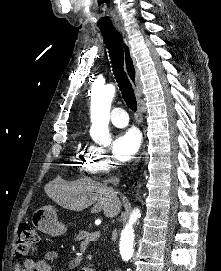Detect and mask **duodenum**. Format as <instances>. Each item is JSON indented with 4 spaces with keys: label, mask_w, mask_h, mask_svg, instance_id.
I'll return each mask as SVG.
<instances>
[{
    "label": "duodenum",
    "mask_w": 221,
    "mask_h": 271,
    "mask_svg": "<svg viewBox=\"0 0 221 271\" xmlns=\"http://www.w3.org/2000/svg\"><path fill=\"white\" fill-rule=\"evenodd\" d=\"M80 271H96V269L93 267H85V268L81 269Z\"/></svg>",
    "instance_id": "1"
}]
</instances>
